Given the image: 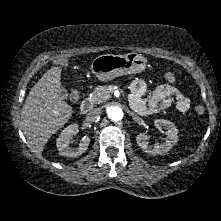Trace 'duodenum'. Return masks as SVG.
<instances>
[{
    "label": "duodenum",
    "instance_id": "410a0bca",
    "mask_svg": "<svg viewBox=\"0 0 221 221\" xmlns=\"http://www.w3.org/2000/svg\"><path fill=\"white\" fill-rule=\"evenodd\" d=\"M92 107V104L89 100H84L80 105V112L82 114H87Z\"/></svg>",
    "mask_w": 221,
    "mask_h": 221
}]
</instances>
